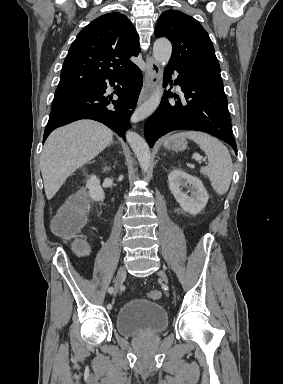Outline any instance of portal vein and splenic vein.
<instances>
[{
    "label": "portal vein and splenic vein",
    "instance_id": "portal-vein-and-splenic-vein-1",
    "mask_svg": "<svg viewBox=\"0 0 283 384\" xmlns=\"http://www.w3.org/2000/svg\"><path fill=\"white\" fill-rule=\"evenodd\" d=\"M193 158H195V160H197V162H199V160H203L202 156H200V154H193Z\"/></svg>",
    "mask_w": 283,
    "mask_h": 384
}]
</instances>
